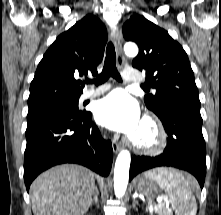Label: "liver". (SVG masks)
<instances>
[{
    "label": "liver",
    "instance_id": "6515ba94",
    "mask_svg": "<svg viewBox=\"0 0 221 215\" xmlns=\"http://www.w3.org/2000/svg\"><path fill=\"white\" fill-rule=\"evenodd\" d=\"M97 191L89 169L64 164L40 174L30 187L34 215H84Z\"/></svg>",
    "mask_w": 221,
    "mask_h": 215
}]
</instances>
